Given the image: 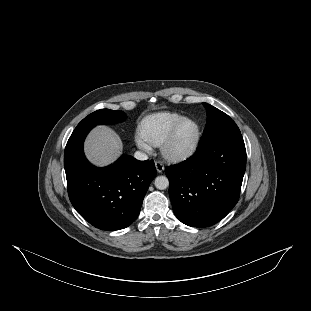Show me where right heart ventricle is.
I'll list each match as a JSON object with an SVG mask.
<instances>
[{
  "mask_svg": "<svg viewBox=\"0 0 311 311\" xmlns=\"http://www.w3.org/2000/svg\"><path fill=\"white\" fill-rule=\"evenodd\" d=\"M186 116L178 112H156L143 117L137 124L140 139L152 146H160L175 125Z\"/></svg>",
  "mask_w": 311,
  "mask_h": 311,
  "instance_id": "1",
  "label": "right heart ventricle"
}]
</instances>
